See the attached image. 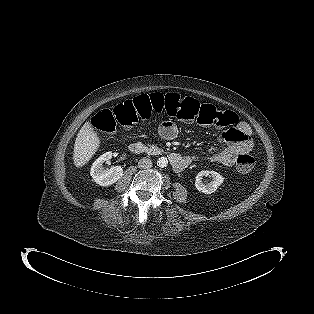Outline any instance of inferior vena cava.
Wrapping results in <instances>:
<instances>
[{"mask_svg": "<svg viewBox=\"0 0 314 314\" xmlns=\"http://www.w3.org/2000/svg\"><path fill=\"white\" fill-rule=\"evenodd\" d=\"M138 167L141 169H149L152 167V161L149 158L143 157L138 162Z\"/></svg>", "mask_w": 314, "mask_h": 314, "instance_id": "602c4592", "label": "inferior vena cava"}]
</instances>
